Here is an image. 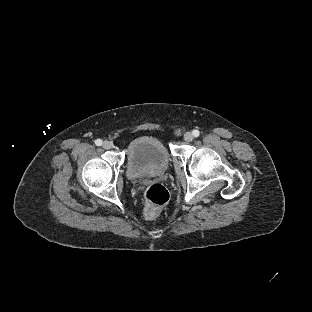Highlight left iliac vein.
<instances>
[{"instance_id": "left-iliac-vein-1", "label": "left iliac vein", "mask_w": 312, "mask_h": 312, "mask_svg": "<svg viewBox=\"0 0 312 312\" xmlns=\"http://www.w3.org/2000/svg\"><path fill=\"white\" fill-rule=\"evenodd\" d=\"M184 139H185V141H187V142L192 141V140H193V134H192L191 132L185 133V134H184Z\"/></svg>"}]
</instances>
